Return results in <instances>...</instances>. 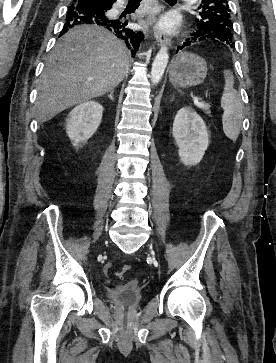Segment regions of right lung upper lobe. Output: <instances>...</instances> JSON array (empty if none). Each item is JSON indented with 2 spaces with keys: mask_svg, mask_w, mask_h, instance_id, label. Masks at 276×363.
<instances>
[{
  "mask_svg": "<svg viewBox=\"0 0 276 363\" xmlns=\"http://www.w3.org/2000/svg\"><path fill=\"white\" fill-rule=\"evenodd\" d=\"M79 1H86V0H79ZM96 1H98L101 5H112L116 0H96Z\"/></svg>",
  "mask_w": 276,
  "mask_h": 363,
  "instance_id": "cb5924a9",
  "label": "right lung upper lobe"
}]
</instances>
